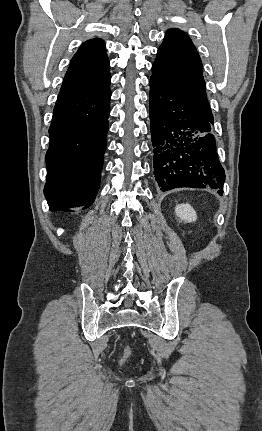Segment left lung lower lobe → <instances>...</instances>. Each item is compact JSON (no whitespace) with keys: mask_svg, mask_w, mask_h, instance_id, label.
<instances>
[{"mask_svg":"<svg viewBox=\"0 0 262 431\" xmlns=\"http://www.w3.org/2000/svg\"><path fill=\"white\" fill-rule=\"evenodd\" d=\"M154 175L161 191L211 188L223 192L225 173L213 135V118L184 96L150 79Z\"/></svg>","mask_w":262,"mask_h":431,"instance_id":"obj_1","label":"left lung lower lobe"}]
</instances>
